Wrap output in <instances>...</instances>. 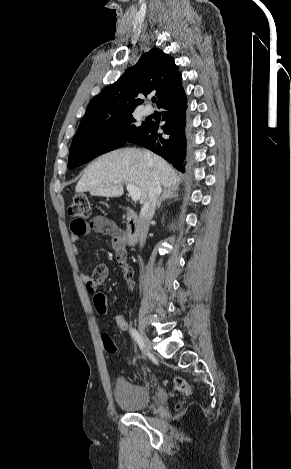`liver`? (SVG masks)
I'll return each instance as SVG.
<instances>
[{"label": "liver", "mask_w": 291, "mask_h": 469, "mask_svg": "<svg viewBox=\"0 0 291 469\" xmlns=\"http://www.w3.org/2000/svg\"><path fill=\"white\" fill-rule=\"evenodd\" d=\"M152 164L144 152L136 148L114 150L92 163L76 185V192H90L92 196L120 197L124 184H134L141 191L140 203L148 198L155 176L165 188L180 182L173 167L158 155L151 154Z\"/></svg>", "instance_id": "obj_1"}]
</instances>
